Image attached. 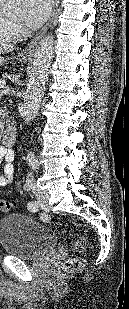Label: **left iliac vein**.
<instances>
[{"mask_svg": "<svg viewBox=\"0 0 129 309\" xmlns=\"http://www.w3.org/2000/svg\"><path fill=\"white\" fill-rule=\"evenodd\" d=\"M32 190H33L34 195L37 198L36 205H37L38 209L41 208L44 211L49 212L50 211V207L47 204V200H48L49 194L46 191L42 190L37 185V183L35 181H34V183H32Z\"/></svg>", "mask_w": 129, "mask_h": 309, "instance_id": "4c4485c4", "label": "left iliac vein"}]
</instances>
